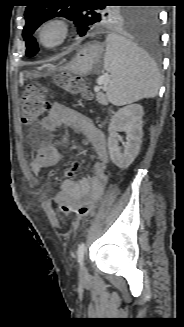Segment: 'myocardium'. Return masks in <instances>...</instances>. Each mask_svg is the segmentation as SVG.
I'll list each match as a JSON object with an SVG mask.
<instances>
[{
	"label": "myocardium",
	"instance_id": "f54148a6",
	"mask_svg": "<svg viewBox=\"0 0 184 327\" xmlns=\"http://www.w3.org/2000/svg\"><path fill=\"white\" fill-rule=\"evenodd\" d=\"M55 27L58 30V37L54 42H46L45 41V31L48 28ZM70 34V26L68 21L65 18L61 17H51L44 20L37 29V40L38 43L46 48L53 49L61 46L68 38Z\"/></svg>",
	"mask_w": 184,
	"mask_h": 327
}]
</instances>
